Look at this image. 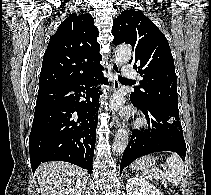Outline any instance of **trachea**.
<instances>
[{
	"mask_svg": "<svg viewBox=\"0 0 211 195\" xmlns=\"http://www.w3.org/2000/svg\"><path fill=\"white\" fill-rule=\"evenodd\" d=\"M119 81H126V82H134L132 80H129V79H126V78H123V77H118Z\"/></svg>",
	"mask_w": 211,
	"mask_h": 195,
	"instance_id": "1",
	"label": "trachea"
}]
</instances>
